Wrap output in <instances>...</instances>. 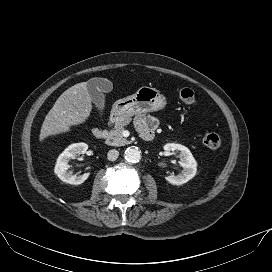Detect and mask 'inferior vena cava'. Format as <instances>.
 Returning <instances> with one entry per match:
<instances>
[{
    "mask_svg": "<svg viewBox=\"0 0 272 272\" xmlns=\"http://www.w3.org/2000/svg\"><path fill=\"white\" fill-rule=\"evenodd\" d=\"M119 156V152L116 149L109 150L107 158L110 161H115Z\"/></svg>",
    "mask_w": 272,
    "mask_h": 272,
    "instance_id": "1",
    "label": "inferior vena cava"
}]
</instances>
